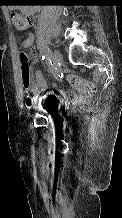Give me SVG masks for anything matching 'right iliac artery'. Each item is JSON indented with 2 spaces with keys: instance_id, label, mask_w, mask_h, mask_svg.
<instances>
[{
  "instance_id": "82829eb1",
  "label": "right iliac artery",
  "mask_w": 122,
  "mask_h": 218,
  "mask_svg": "<svg viewBox=\"0 0 122 218\" xmlns=\"http://www.w3.org/2000/svg\"><path fill=\"white\" fill-rule=\"evenodd\" d=\"M41 47V45H40ZM43 50V56L42 59L45 60L47 66L49 67L50 70H52L54 68V63L52 62V60L50 59V52L44 48H42Z\"/></svg>"
}]
</instances>
